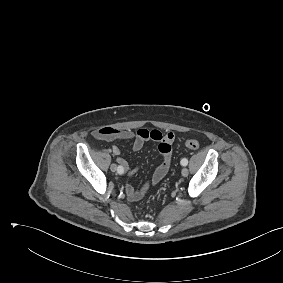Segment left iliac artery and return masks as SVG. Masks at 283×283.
Returning a JSON list of instances; mask_svg holds the SVG:
<instances>
[{"mask_svg":"<svg viewBox=\"0 0 283 283\" xmlns=\"http://www.w3.org/2000/svg\"><path fill=\"white\" fill-rule=\"evenodd\" d=\"M188 164V160L186 159V158H183L182 160H181V165L182 166H186Z\"/></svg>","mask_w":283,"mask_h":283,"instance_id":"left-iliac-artery-1","label":"left iliac artery"}]
</instances>
